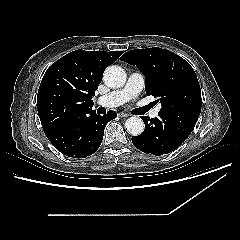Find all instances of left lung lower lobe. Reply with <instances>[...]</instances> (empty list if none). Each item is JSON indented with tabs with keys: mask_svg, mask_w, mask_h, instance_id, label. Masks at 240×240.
<instances>
[{
	"mask_svg": "<svg viewBox=\"0 0 240 240\" xmlns=\"http://www.w3.org/2000/svg\"><path fill=\"white\" fill-rule=\"evenodd\" d=\"M199 110L189 109L158 113V118L143 117L145 130L133 136L132 142L142 152L156 156L178 148L192 132L200 115Z\"/></svg>",
	"mask_w": 240,
	"mask_h": 240,
	"instance_id": "obj_1",
	"label": "left lung lower lobe"
}]
</instances>
